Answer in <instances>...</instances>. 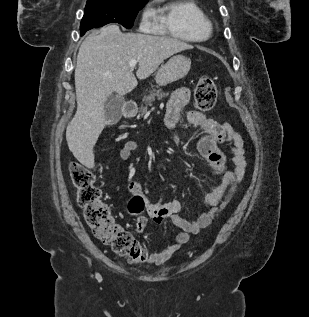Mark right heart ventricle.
<instances>
[{"instance_id": "1", "label": "right heart ventricle", "mask_w": 309, "mask_h": 317, "mask_svg": "<svg viewBox=\"0 0 309 317\" xmlns=\"http://www.w3.org/2000/svg\"><path fill=\"white\" fill-rule=\"evenodd\" d=\"M160 30L175 38L199 42L211 33V22L193 0L168 1L154 11Z\"/></svg>"}]
</instances>
